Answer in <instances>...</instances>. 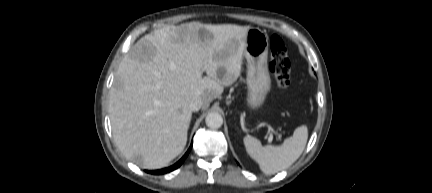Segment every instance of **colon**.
<instances>
[{
	"label": "colon",
	"mask_w": 432,
	"mask_h": 193,
	"mask_svg": "<svg viewBox=\"0 0 432 193\" xmlns=\"http://www.w3.org/2000/svg\"><path fill=\"white\" fill-rule=\"evenodd\" d=\"M271 59L269 69L280 88H287L291 81V62L282 39L273 35L270 40Z\"/></svg>",
	"instance_id": "obj_1"
}]
</instances>
